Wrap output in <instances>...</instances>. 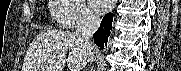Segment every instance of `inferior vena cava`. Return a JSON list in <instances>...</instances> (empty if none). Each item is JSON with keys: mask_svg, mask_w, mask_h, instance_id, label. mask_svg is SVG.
Masks as SVG:
<instances>
[{"mask_svg": "<svg viewBox=\"0 0 181 71\" xmlns=\"http://www.w3.org/2000/svg\"><path fill=\"white\" fill-rule=\"evenodd\" d=\"M100 26V18L92 13H86L82 16L76 29V38L81 46L86 50L88 54V62H93L94 51L91 42L93 34Z\"/></svg>", "mask_w": 181, "mask_h": 71, "instance_id": "obj_1", "label": "inferior vena cava"}]
</instances>
